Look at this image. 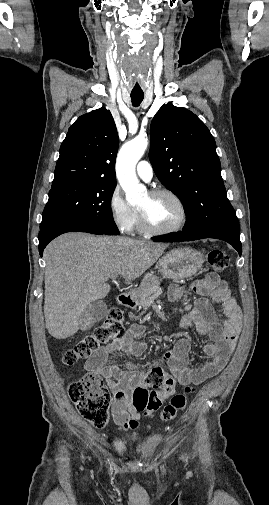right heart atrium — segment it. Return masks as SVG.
<instances>
[{
	"label": "right heart atrium",
	"instance_id": "d8ad5b80",
	"mask_svg": "<svg viewBox=\"0 0 269 505\" xmlns=\"http://www.w3.org/2000/svg\"><path fill=\"white\" fill-rule=\"evenodd\" d=\"M108 209L115 226L124 233L134 229L138 218L137 210L125 199L119 187H115L108 200Z\"/></svg>",
	"mask_w": 269,
	"mask_h": 505
}]
</instances>
